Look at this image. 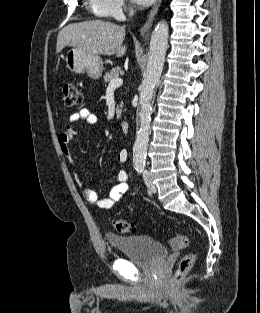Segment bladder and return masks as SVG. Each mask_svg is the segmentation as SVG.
<instances>
[{"instance_id": "bladder-1", "label": "bladder", "mask_w": 260, "mask_h": 313, "mask_svg": "<svg viewBox=\"0 0 260 313\" xmlns=\"http://www.w3.org/2000/svg\"><path fill=\"white\" fill-rule=\"evenodd\" d=\"M106 241L110 247L126 254L137 266H152L168 255L167 248L149 236L107 234Z\"/></svg>"}]
</instances>
